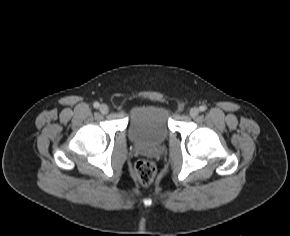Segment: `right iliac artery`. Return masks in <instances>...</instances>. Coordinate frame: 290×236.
I'll use <instances>...</instances> for the list:
<instances>
[{
    "label": "right iliac artery",
    "instance_id": "82829eb1",
    "mask_svg": "<svg viewBox=\"0 0 290 236\" xmlns=\"http://www.w3.org/2000/svg\"><path fill=\"white\" fill-rule=\"evenodd\" d=\"M93 106H94V108H99L100 104H99L98 102H95V103L93 104Z\"/></svg>",
    "mask_w": 290,
    "mask_h": 236
}]
</instances>
